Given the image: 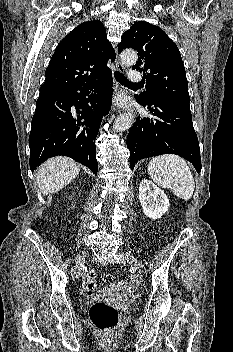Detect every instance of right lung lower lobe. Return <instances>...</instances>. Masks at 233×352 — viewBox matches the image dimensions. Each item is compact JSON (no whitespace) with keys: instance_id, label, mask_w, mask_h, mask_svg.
Returning <instances> with one entry per match:
<instances>
[{"instance_id":"98d812e1","label":"right lung lower lobe","mask_w":233,"mask_h":352,"mask_svg":"<svg viewBox=\"0 0 233 352\" xmlns=\"http://www.w3.org/2000/svg\"><path fill=\"white\" fill-rule=\"evenodd\" d=\"M112 84L108 70L65 93L39 96L29 136L32 171L48 158L62 155L97 175L95 139L102 117L111 107Z\"/></svg>"}]
</instances>
